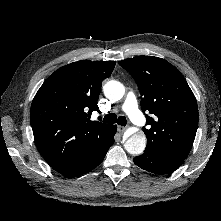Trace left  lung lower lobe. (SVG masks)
<instances>
[{"instance_id": "0a47b994", "label": "left lung lower lobe", "mask_w": 221, "mask_h": 221, "mask_svg": "<svg viewBox=\"0 0 221 221\" xmlns=\"http://www.w3.org/2000/svg\"><path fill=\"white\" fill-rule=\"evenodd\" d=\"M140 168L153 173H169L179 168L184 160L166 156L157 152L145 150L140 156L133 159Z\"/></svg>"}]
</instances>
